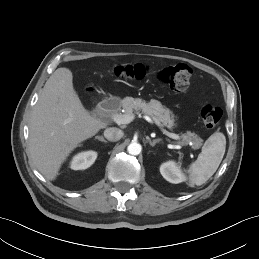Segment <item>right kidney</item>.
I'll return each mask as SVG.
<instances>
[{
	"mask_svg": "<svg viewBox=\"0 0 259 259\" xmlns=\"http://www.w3.org/2000/svg\"><path fill=\"white\" fill-rule=\"evenodd\" d=\"M97 153L95 151L81 152L75 155L70 163L73 170H84L90 167L96 160Z\"/></svg>",
	"mask_w": 259,
	"mask_h": 259,
	"instance_id": "1",
	"label": "right kidney"
}]
</instances>
